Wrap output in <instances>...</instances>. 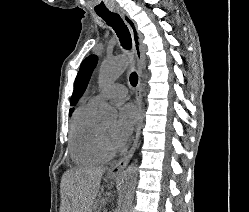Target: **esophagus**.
<instances>
[{"instance_id":"1","label":"esophagus","mask_w":249,"mask_h":212,"mask_svg":"<svg viewBox=\"0 0 249 212\" xmlns=\"http://www.w3.org/2000/svg\"><path fill=\"white\" fill-rule=\"evenodd\" d=\"M113 11L117 12L120 15V17L124 20V22L126 23V25L128 26L130 30V34L132 37V44H133L134 51L137 57V65H138V73H139V82H138L136 93H135V101L139 109V118H138L134 142L129 152L126 155H124L115 165L111 166L108 169V172H110L112 175H121L134 155V152L138 145V141H139L142 125H143V108H142L143 73H142V70H143V65H144L145 57H146L145 55L146 46L143 43V35L138 30V27L136 23L134 22V20L128 15L127 12H125L124 8L116 7Z\"/></svg>"}]
</instances>
